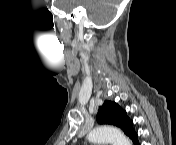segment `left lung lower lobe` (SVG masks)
Segmentation results:
<instances>
[{
  "label": "left lung lower lobe",
  "mask_w": 176,
  "mask_h": 145,
  "mask_svg": "<svg viewBox=\"0 0 176 145\" xmlns=\"http://www.w3.org/2000/svg\"><path fill=\"white\" fill-rule=\"evenodd\" d=\"M131 140L133 141L134 145H139L137 135H135Z\"/></svg>",
  "instance_id": "obj_1"
}]
</instances>
